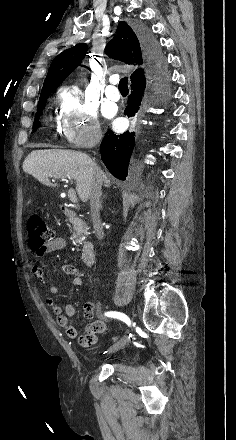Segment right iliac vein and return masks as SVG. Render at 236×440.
<instances>
[{"mask_svg":"<svg viewBox=\"0 0 236 440\" xmlns=\"http://www.w3.org/2000/svg\"><path fill=\"white\" fill-rule=\"evenodd\" d=\"M127 340H128L127 335L123 336L116 344H114L110 348V351L111 352H116V351L120 350L122 347L125 346V344L127 343Z\"/></svg>","mask_w":236,"mask_h":440,"instance_id":"obj_1","label":"right iliac vein"}]
</instances>
